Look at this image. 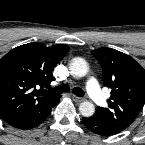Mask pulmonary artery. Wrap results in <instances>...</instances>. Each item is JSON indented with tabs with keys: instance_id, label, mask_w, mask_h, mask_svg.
I'll return each instance as SVG.
<instances>
[{
	"instance_id": "1",
	"label": "pulmonary artery",
	"mask_w": 145,
	"mask_h": 145,
	"mask_svg": "<svg viewBox=\"0 0 145 145\" xmlns=\"http://www.w3.org/2000/svg\"><path fill=\"white\" fill-rule=\"evenodd\" d=\"M87 92L91 99L99 105L106 102V96L100 90L95 78H90L86 84Z\"/></svg>"
}]
</instances>
